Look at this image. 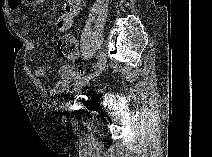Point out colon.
Masks as SVG:
<instances>
[{"mask_svg": "<svg viewBox=\"0 0 212 157\" xmlns=\"http://www.w3.org/2000/svg\"><path fill=\"white\" fill-rule=\"evenodd\" d=\"M56 49L62 59L71 62H77L79 59L77 40L72 33L62 34L57 41ZM83 72L84 70L81 67L76 69L78 75Z\"/></svg>", "mask_w": 212, "mask_h": 157, "instance_id": "5ec220e1", "label": "colon"}]
</instances>
